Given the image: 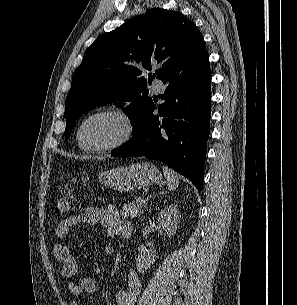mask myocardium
I'll use <instances>...</instances> for the list:
<instances>
[{"label":"myocardium","mask_w":297,"mask_h":305,"mask_svg":"<svg viewBox=\"0 0 297 305\" xmlns=\"http://www.w3.org/2000/svg\"><path fill=\"white\" fill-rule=\"evenodd\" d=\"M103 116L113 117L117 119L123 127L122 135L117 140L104 145L88 146L84 144L82 140L81 132L85 123L93 118L103 117ZM133 131H134V125L128 114L118 109L107 108V109L96 110L84 116L76 126L75 137L80 149H82L83 151L91 152V153H101V152L112 151L125 145L131 139L133 135Z\"/></svg>","instance_id":"myocardium-1"}]
</instances>
